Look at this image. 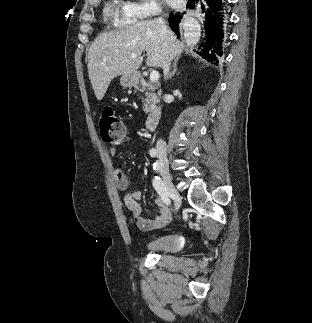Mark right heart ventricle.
<instances>
[{
    "label": "right heart ventricle",
    "instance_id": "e07e8e85",
    "mask_svg": "<svg viewBox=\"0 0 312 323\" xmlns=\"http://www.w3.org/2000/svg\"><path fill=\"white\" fill-rule=\"evenodd\" d=\"M102 20H111V13H109V11L107 9H104L102 11Z\"/></svg>",
    "mask_w": 312,
    "mask_h": 323
}]
</instances>
